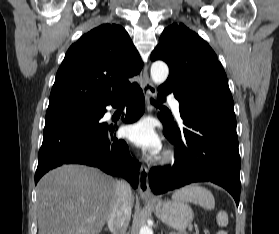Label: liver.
<instances>
[{
  "label": "liver",
  "instance_id": "6515ba94",
  "mask_svg": "<svg viewBox=\"0 0 279 234\" xmlns=\"http://www.w3.org/2000/svg\"><path fill=\"white\" fill-rule=\"evenodd\" d=\"M116 182L83 165L44 175L37 186L38 234H99L115 201Z\"/></svg>",
  "mask_w": 279,
  "mask_h": 234
}]
</instances>
